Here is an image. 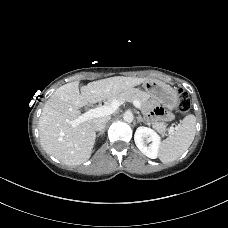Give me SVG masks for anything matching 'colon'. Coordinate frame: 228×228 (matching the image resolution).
Returning a JSON list of instances; mask_svg holds the SVG:
<instances>
[{
  "label": "colon",
  "instance_id": "1",
  "mask_svg": "<svg viewBox=\"0 0 228 228\" xmlns=\"http://www.w3.org/2000/svg\"><path fill=\"white\" fill-rule=\"evenodd\" d=\"M179 94V102L177 106V111L181 115H186L189 112L191 101L188 93L184 91L183 89L178 90ZM171 117L167 115V119H170Z\"/></svg>",
  "mask_w": 228,
  "mask_h": 228
}]
</instances>
